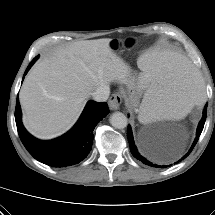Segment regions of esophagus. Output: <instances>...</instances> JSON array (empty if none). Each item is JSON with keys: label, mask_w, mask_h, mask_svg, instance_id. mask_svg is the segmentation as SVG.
<instances>
[{"label": "esophagus", "mask_w": 215, "mask_h": 215, "mask_svg": "<svg viewBox=\"0 0 215 215\" xmlns=\"http://www.w3.org/2000/svg\"><path fill=\"white\" fill-rule=\"evenodd\" d=\"M122 103V95L118 92L111 95L109 99V107L111 110H118Z\"/></svg>", "instance_id": "obj_1"}]
</instances>
